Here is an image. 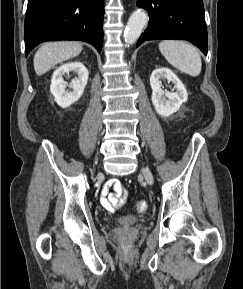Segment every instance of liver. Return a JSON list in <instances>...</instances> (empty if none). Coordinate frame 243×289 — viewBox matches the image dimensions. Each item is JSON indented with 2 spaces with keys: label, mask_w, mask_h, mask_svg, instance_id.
<instances>
[{
  "label": "liver",
  "mask_w": 243,
  "mask_h": 289,
  "mask_svg": "<svg viewBox=\"0 0 243 289\" xmlns=\"http://www.w3.org/2000/svg\"><path fill=\"white\" fill-rule=\"evenodd\" d=\"M82 49V44L75 41L44 43L34 55V70L37 75H43L56 64L76 57Z\"/></svg>",
  "instance_id": "6515ba94"
}]
</instances>
